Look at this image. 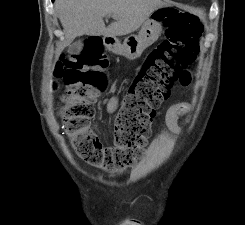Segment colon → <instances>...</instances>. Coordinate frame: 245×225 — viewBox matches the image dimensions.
<instances>
[{"mask_svg": "<svg viewBox=\"0 0 245 225\" xmlns=\"http://www.w3.org/2000/svg\"><path fill=\"white\" fill-rule=\"evenodd\" d=\"M161 18L166 38L149 53L129 83L114 121L112 147L102 146L89 127L97 98L106 89V74L100 69L108 68L109 57L103 43L96 37L81 38L74 51L56 62L54 78L66 88L59 109L63 131L76 155L96 168L123 170L130 165L147 145L157 108L169 99L176 83L187 85L192 79L188 69L196 60L202 32L197 16L165 8ZM94 67L100 69L94 71ZM186 111V102L179 103L178 113Z\"/></svg>", "mask_w": 245, "mask_h": 225, "instance_id": "1", "label": "colon"}]
</instances>
